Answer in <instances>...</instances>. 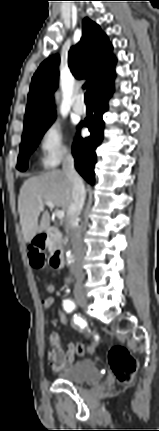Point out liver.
<instances>
[{"instance_id":"obj_1","label":"liver","mask_w":159,"mask_h":431,"mask_svg":"<svg viewBox=\"0 0 159 431\" xmlns=\"http://www.w3.org/2000/svg\"><path fill=\"white\" fill-rule=\"evenodd\" d=\"M51 201L54 206L62 208L69 217V206L72 202V183L67 174L53 170L27 179L20 189L18 212L24 241L30 243L37 233L50 226L48 211L39 210L40 204ZM43 212L40 223L38 219Z\"/></svg>"}]
</instances>
